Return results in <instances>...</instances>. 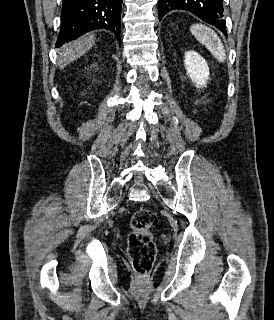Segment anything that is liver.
I'll return each mask as SVG.
<instances>
[{
  "instance_id": "liver-1",
  "label": "liver",
  "mask_w": 274,
  "mask_h": 320,
  "mask_svg": "<svg viewBox=\"0 0 274 320\" xmlns=\"http://www.w3.org/2000/svg\"><path fill=\"white\" fill-rule=\"evenodd\" d=\"M92 46H95V36L94 34H85V36H81L78 40H74V42H69V44H65L63 48H61L60 56H59V66L60 70H63L65 66L74 62V60H78L81 56H84L88 50H91Z\"/></svg>"
}]
</instances>
